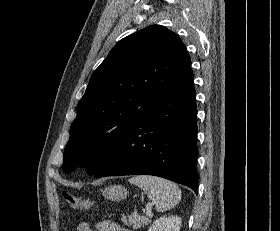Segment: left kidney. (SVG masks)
<instances>
[{
  "label": "left kidney",
  "mask_w": 280,
  "mask_h": 231,
  "mask_svg": "<svg viewBox=\"0 0 280 231\" xmlns=\"http://www.w3.org/2000/svg\"><path fill=\"white\" fill-rule=\"evenodd\" d=\"M182 219L178 215H170V217H158L148 231H180Z\"/></svg>",
  "instance_id": "5707ae66"
}]
</instances>
